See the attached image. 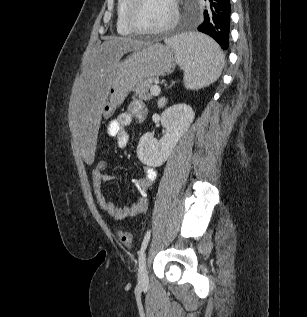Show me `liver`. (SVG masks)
Wrapping results in <instances>:
<instances>
[{"instance_id":"1","label":"liver","mask_w":307,"mask_h":317,"mask_svg":"<svg viewBox=\"0 0 307 317\" xmlns=\"http://www.w3.org/2000/svg\"><path fill=\"white\" fill-rule=\"evenodd\" d=\"M146 45L127 37L110 36L98 47L83 69L73 90L69 107V127L79 158L85 167H92L93 149L101 121L103 101L111 85L112 75L121 57Z\"/></svg>"}]
</instances>
